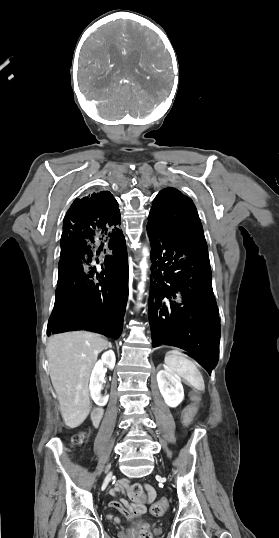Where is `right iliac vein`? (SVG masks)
Listing matches in <instances>:
<instances>
[{
    "label": "right iliac vein",
    "instance_id": "right-iliac-vein-1",
    "mask_svg": "<svg viewBox=\"0 0 279 538\" xmlns=\"http://www.w3.org/2000/svg\"><path fill=\"white\" fill-rule=\"evenodd\" d=\"M111 476H112V473H109V474L106 476V478H105V480H104V482H103V488H106V486L108 485V483H109V481H110V479H111Z\"/></svg>",
    "mask_w": 279,
    "mask_h": 538
}]
</instances>
